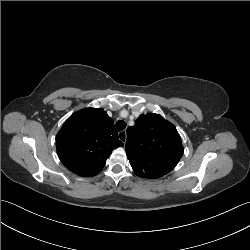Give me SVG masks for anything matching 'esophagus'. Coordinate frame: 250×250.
Segmentation results:
<instances>
[{"mask_svg":"<svg viewBox=\"0 0 250 250\" xmlns=\"http://www.w3.org/2000/svg\"><path fill=\"white\" fill-rule=\"evenodd\" d=\"M118 136H119V140L122 141L125 144L126 143V139H127V133H126V131L119 132Z\"/></svg>","mask_w":250,"mask_h":250,"instance_id":"1","label":"esophagus"}]
</instances>
